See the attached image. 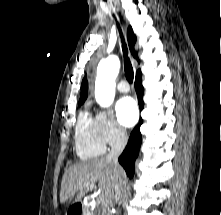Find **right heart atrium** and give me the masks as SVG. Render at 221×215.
<instances>
[{
    "label": "right heart atrium",
    "instance_id": "right-heart-atrium-1",
    "mask_svg": "<svg viewBox=\"0 0 221 215\" xmlns=\"http://www.w3.org/2000/svg\"><path fill=\"white\" fill-rule=\"evenodd\" d=\"M93 120L97 135L104 145H118L126 140V131L117 123L110 110H97Z\"/></svg>",
    "mask_w": 221,
    "mask_h": 215
}]
</instances>
